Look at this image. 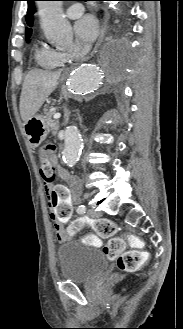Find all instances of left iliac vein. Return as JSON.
<instances>
[{"mask_svg": "<svg viewBox=\"0 0 183 329\" xmlns=\"http://www.w3.org/2000/svg\"><path fill=\"white\" fill-rule=\"evenodd\" d=\"M87 215L91 218H96V217H99L101 215V213L96 211L94 208H89L87 210Z\"/></svg>", "mask_w": 183, "mask_h": 329, "instance_id": "left-iliac-vein-1", "label": "left iliac vein"}]
</instances>
